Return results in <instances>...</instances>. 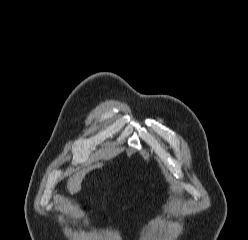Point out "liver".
Listing matches in <instances>:
<instances>
[{"label":"liver","instance_id":"1","mask_svg":"<svg viewBox=\"0 0 248 240\" xmlns=\"http://www.w3.org/2000/svg\"><path fill=\"white\" fill-rule=\"evenodd\" d=\"M86 170L77 172L72 175L67 181V189L71 194H75L81 190V183L85 177Z\"/></svg>","mask_w":248,"mask_h":240}]
</instances>
